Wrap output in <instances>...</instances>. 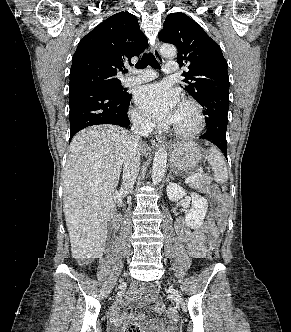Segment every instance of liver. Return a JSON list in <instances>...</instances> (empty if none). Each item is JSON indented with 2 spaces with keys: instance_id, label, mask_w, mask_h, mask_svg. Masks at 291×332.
<instances>
[{
  "instance_id": "obj_1",
  "label": "liver",
  "mask_w": 291,
  "mask_h": 332,
  "mask_svg": "<svg viewBox=\"0 0 291 332\" xmlns=\"http://www.w3.org/2000/svg\"><path fill=\"white\" fill-rule=\"evenodd\" d=\"M131 140L129 132L113 125L88 127L72 139L63 174L72 258L102 257L107 223L115 213L113 193Z\"/></svg>"
}]
</instances>
